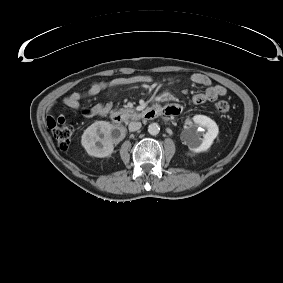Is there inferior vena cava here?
<instances>
[{
    "label": "inferior vena cava",
    "mask_w": 283,
    "mask_h": 283,
    "mask_svg": "<svg viewBox=\"0 0 283 283\" xmlns=\"http://www.w3.org/2000/svg\"><path fill=\"white\" fill-rule=\"evenodd\" d=\"M141 126H142L141 122L133 121L129 123L128 128L130 132H134V131L139 130Z\"/></svg>",
    "instance_id": "602c4592"
}]
</instances>
